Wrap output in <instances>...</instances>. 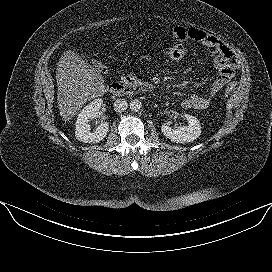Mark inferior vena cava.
Instances as JSON below:
<instances>
[{"label":"inferior vena cava","mask_w":272,"mask_h":272,"mask_svg":"<svg viewBox=\"0 0 272 272\" xmlns=\"http://www.w3.org/2000/svg\"><path fill=\"white\" fill-rule=\"evenodd\" d=\"M128 103L125 99H117L114 102V110L116 112H123L127 109Z\"/></svg>","instance_id":"obj_1"}]
</instances>
